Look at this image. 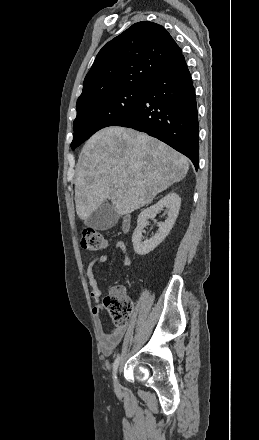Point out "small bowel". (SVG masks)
Listing matches in <instances>:
<instances>
[{
  "instance_id": "1",
  "label": "small bowel",
  "mask_w": 259,
  "mask_h": 440,
  "mask_svg": "<svg viewBox=\"0 0 259 440\" xmlns=\"http://www.w3.org/2000/svg\"><path fill=\"white\" fill-rule=\"evenodd\" d=\"M115 247L120 250L123 253V262L124 265L130 266L132 261L127 253V248L124 242L118 241L115 243ZM108 257L107 255L101 254L95 257L89 258L86 265V276L88 279V284L91 288L90 295L95 301V307L93 308V313L95 316H97V334L99 337V347L101 349V352L105 356L111 355L113 350L117 347V345L120 343L122 338L125 335L126 329L125 328H117V329H109L105 330L104 326L102 325L99 315L102 311V306L99 303V299L101 296V290L98 287V283L94 276V269L98 264L105 263L107 261Z\"/></svg>"
}]
</instances>
